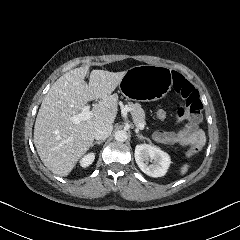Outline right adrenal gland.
Segmentation results:
<instances>
[{"label": "right adrenal gland", "instance_id": "1", "mask_svg": "<svg viewBox=\"0 0 240 240\" xmlns=\"http://www.w3.org/2000/svg\"><path fill=\"white\" fill-rule=\"evenodd\" d=\"M103 142H104V140L95 141L94 143L91 144V147H93L95 144H101Z\"/></svg>", "mask_w": 240, "mask_h": 240}]
</instances>
